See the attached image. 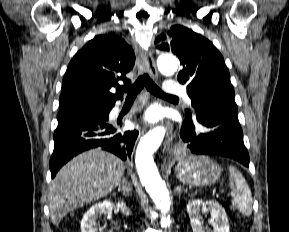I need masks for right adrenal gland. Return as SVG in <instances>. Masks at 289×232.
Returning <instances> with one entry per match:
<instances>
[{
  "instance_id": "1",
  "label": "right adrenal gland",
  "mask_w": 289,
  "mask_h": 232,
  "mask_svg": "<svg viewBox=\"0 0 289 232\" xmlns=\"http://www.w3.org/2000/svg\"><path fill=\"white\" fill-rule=\"evenodd\" d=\"M131 190L130 184L126 181V178L123 177L122 181L119 183L118 192H123L129 194Z\"/></svg>"
}]
</instances>
